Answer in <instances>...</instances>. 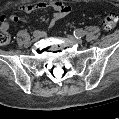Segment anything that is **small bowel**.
I'll use <instances>...</instances> for the list:
<instances>
[{"instance_id": "c3829d8e", "label": "small bowel", "mask_w": 119, "mask_h": 119, "mask_svg": "<svg viewBox=\"0 0 119 119\" xmlns=\"http://www.w3.org/2000/svg\"><path fill=\"white\" fill-rule=\"evenodd\" d=\"M48 8L52 10V19L50 22L51 26H53L57 20L67 16L71 12V7L62 1H40L37 3H26L20 6V10L24 13H32L37 10H44ZM10 19L13 22H26L25 18L16 14L12 15ZM1 21V26L8 30L9 23L7 22L5 17H2Z\"/></svg>"}]
</instances>
